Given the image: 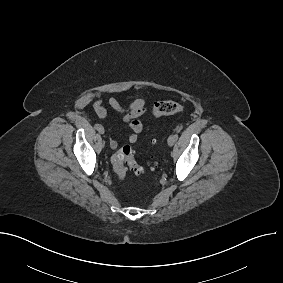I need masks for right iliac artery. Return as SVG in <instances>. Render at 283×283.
I'll list each match as a JSON object with an SVG mask.
<instances>
[{"mask_svg":"<svg viewBox=\"0 0 283 283\" xmlns=\"http://www.w3.org/2000/svg\"><path fill=\"white\" fill-rule=\"evenodd\" d=\"M101 127V125L100 124H95V129H99Z\"/></svg>","mask_w":283,"mask_h":283,"instance_id":"right-iliac-artery-1","label":"right iliac artery"}]
</instances>
